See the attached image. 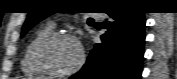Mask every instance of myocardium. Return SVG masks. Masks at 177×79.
<instances>
[{"label": "myocardium", "instance_id": "obj_1", "mask_svg": "<svg viewBox=\"0 0 177 79\" xmlns=\"http://www.w3.org/2000/svg\"><path fill=\"white\" fill-rule=\"evenodd\" d=\"M62 40H69L74 42L78 49H79V61L78 63L71 69L66 70V71H57L54 70L51 66H49L44 57L45 50L53 43L62 41ZM34 61L37 64V66L46 74L49 75H54V76H69L72 75L76 72H78L84 65L85 63V53L83 50V47L77 37L71 34H66V33H59V34H51L47 38H45L42 42L38 44V46L35 49L34 53Z\"/></svg>", "mask_w": 177, "mask_h": 79}]
</instances>
